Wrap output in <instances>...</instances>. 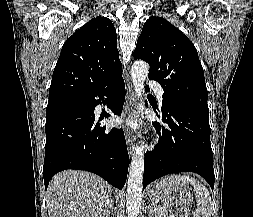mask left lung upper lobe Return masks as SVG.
<instances>
[{
    "instance_id": "obj_1",
    "label": "left lung upper lobe",
    "mask_w": 253,
    "mask_h": 217,
    "mask_svg": "<svg viewBox=\"0 0 253 217\" xmlns=\"http://www.w3.org/2000/svg\"><path fill=\"white\" fill-rule=\"evenodd\" d=\"M150 65L149 79L164 90L162 107L178 102L208 109L204 72L193 43L164 18H149L134 51Z\"/></svg>"
}]
</instances>
